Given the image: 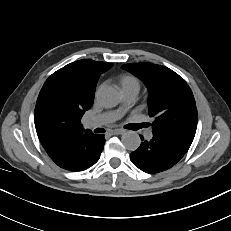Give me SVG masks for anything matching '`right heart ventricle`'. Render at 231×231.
I'll list each match as a JSON object with an SVG mask.
<instances>
[{"label": "right heart ventricle", "mask_w": 231, "mask_h": 231, "mask_svg": "<svg viewBox=\"0 0 231 231\" xmlns=\"http://www.w3.org/2000/svg\"><path fill=\"white\" fill-rule=\"evenodd\" d=\"M119 83H120L122 92H126V91L139 92V90H140V81L134 75H131V74L123 75L120 78Z\"/></svg>", "instance_id": "obj_1"}]
</instances>
